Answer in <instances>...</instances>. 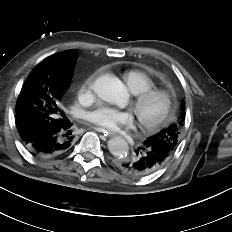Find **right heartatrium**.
<instances>
[{
  "label": "right heart atrium",
  "instance_id": "1",
  "mask_svg": "<svg viewBox=\"0 0 232 232\" xmlns=\"http://www.w3.org/2000/svg\"><path fill=\"white\" fill-rule=\"evenodd\" d=\"M93 79L94 76L89 77L88 81L82 87L83 92H91L93 90Z\"/></svg>",
  "mask_w": 232,
  "mask_h": 232
}]
</instances>
